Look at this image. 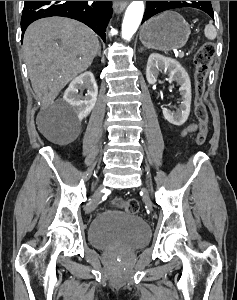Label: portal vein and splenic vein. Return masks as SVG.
I'll return each instance as SVG.
<instances>
[{"instance_id": "obj_1", "label": "portal vein and splenic vein", "mask_w": 237, "mask_h": 300, "mask_svg": "<svg viewBox=\"0 0 237 300\" xmlns=\"http://www.w3.org/2000/svg\"><path fill=\"white\" fill-rule=\"evenodd\" d=\"M179 56H180V59H183V58H184V53L181 51V52L179 53Z\"/></svg>"}]
</instances>
